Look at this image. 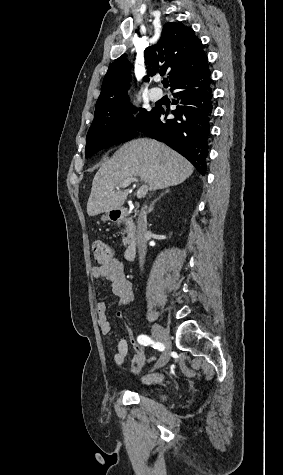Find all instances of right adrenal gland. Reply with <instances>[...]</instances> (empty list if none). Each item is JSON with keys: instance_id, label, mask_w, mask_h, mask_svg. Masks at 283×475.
Wrapping results in <instances>:
<instances>
[{"instance_id": "2a0ac1e0", "label": "right adrenal gland", "mask_w": 283, "mask_h": 475, "mask_svg": "<svg viewBox=\"0 0 283 475\" xmlns=\"http://www.w3.org/2000/svg\"><path fill=\"white\" fill-rule=\"evenodd\" d=\"M169 190H166V192H164V194H168ZM164 194H161V196H159V198H156V200H153V202H151L150 206H149V210H153L154 206H155V202H157V200H160V198H162V196H164Z\"/></svg>"}]
</instances>
